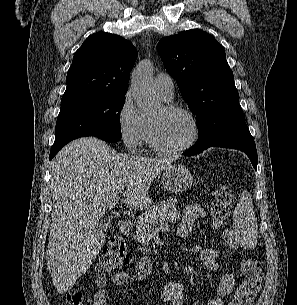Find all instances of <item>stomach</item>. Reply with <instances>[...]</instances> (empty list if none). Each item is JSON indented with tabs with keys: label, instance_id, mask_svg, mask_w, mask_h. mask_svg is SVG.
<instances>
[{
	"label": "stomach",
	"instance_id": "0dacf381",
	"mask_svg": "<svg viewBox=\"0 0 297 305\" xmlns=\"http://www.w3.org/2000/svg\"><path fill=\"white\" fill-rule=\"evenodd\" d=\"M161 182L165 190L178 193L193 185V176L185 166L174 164L164 170Z\"/></svg>",
	"mask_w": 297,
	"mask_h": 305
}]
</instances>
